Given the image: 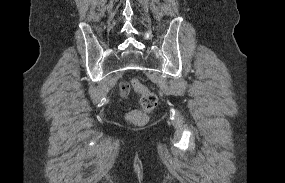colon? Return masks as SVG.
Here are the masks:
<instances>
[{"label":"colon","instance_id":"obj_1","mask_svg":"<svg viewBox=\"0 0 285 183\" xmlns=\"http://www.w3.org/2000/svg\"><path fill=\"white\" fill-rule=\"evenodd\" d=\"M132 86L140 95L141 109L130 111L127 114V119L136 126H142L148 122V115L156 108L158 98L155 93L151 92L137 80L132 81Z\"/></svg>","mask_w":285,"mask_h":183}]
</instances>
